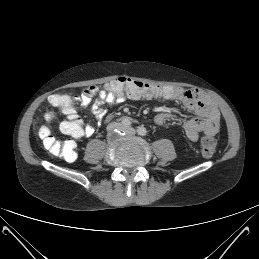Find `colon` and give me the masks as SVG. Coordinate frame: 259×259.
<instances>
[{"instance_id":"1","label":"colon","mask_w":259,"mask_h":259,"mask_svg":"<svg viewBox=\"0 0 259 259\" xmlns=\"http://www.w3.org/2000/svg\"><path fill=\"white\" fill-rule=\"evenodd\" d=\"M106 89L115 92H125L135 97L152 98L159 94L160 86L144 83L142 81L120 77L106 84ZM53 104L62 107L67 103V98L61 95H55ZM61 131L72 138L59 141L57 140L46 126H42L39 130V136L43 141L44 147L54 156L61 157L66 161L72 162L76 159L77 143L74 140L78 138L82 132V122L78 116L68 118L62 122ZM216 150V142L214 137H204L201 142V151L205 157H211Z\"/></svg>"}]
</instances>
